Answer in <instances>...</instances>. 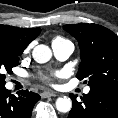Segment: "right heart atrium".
Here are the masks:
<instances>
[{"mask_svg": "<svg viewBox=\"0 0 118 118\" xmlns=\"http://www.w3.org/2000/svg\"><path fill=\"white\" fill-rule=\"evenodd\" d=\"M31 48H32V44H30V45L25 49V52L30 51Z\"/></svg>", "mask_w": 118, "mask_h": 118, "instance_id": "d8ad5b80", "label": "right heart atrium"}]
</instances>
